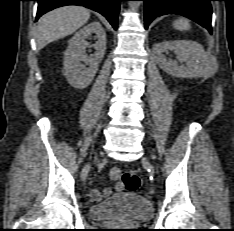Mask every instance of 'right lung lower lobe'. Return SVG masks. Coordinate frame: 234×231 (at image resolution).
Listing matches in <instances>:
<instances>
[{"label": "right lung lower lobe", "mask_w": 234, "mask_h": 231, "mask_svg": "<svg viewBox=\"0 0 234 231\" xmlns=\"http://www.w3.org/2000/svg\"><path fill=\"white\" fill-rule=\"evenodd\" d=\"M38 11L36 20L44 13L65 5H80L104 15L114 29L117 28L118 13L122 0H37Z\"/></svg>", "instance_id": "98d812e1"}]
</instances>
